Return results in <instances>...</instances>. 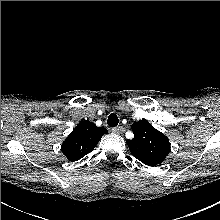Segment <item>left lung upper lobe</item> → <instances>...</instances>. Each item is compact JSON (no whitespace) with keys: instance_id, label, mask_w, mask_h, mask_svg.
<instances>
[{"instance_id":"left-lung-upper-lobe-1","label":"left lung upper lobe","mask_w":220,"mask_h":220,"mask_svg":"<svg viewBox=\"0 0 220 220\" xmlns=\"http://www.w3.org/2000/svg\"><path fill=\"white\" fill-rule=\"evenodd\" d=\"M134 138L127 140L131 154L149 166L161 164L170 152L168 138L147 120L132 124Z\"/></svg>"}]
</instances>
